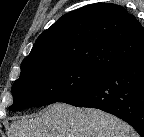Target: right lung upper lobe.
I'll return each instance as SVG.
<instances>
[{"mask_svg": "<svg viewBox=\"0 0 144 137\" xmlns=\"http://www.w3.org/2000/svg\"><path fill=\"white\" fill-rule=\"evenodd\" d=\"M144 53V29L123 7L95 3L63 15L36 40L22 66L72 62L109 72Z\"/></svg>", "mask_w": 144, "mask_h": 137, "instance_id": "cb5924a9", "label": "right lung upper lobe"}]
</instances>
